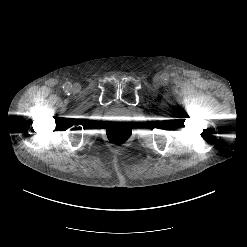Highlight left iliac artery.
Segmentation results:
<instances>
[{
  "mask_svg": "<svg viewBox=\"0 0 247 247\" xmlns=\"http://www.w3.org/2000/svg\"><path fill=\"white\" fill-rule=\"evenodd\" d=\"M163 79H164L165 81L168 80V76L165 75V76L163 77Z\"/></svg>",
  "mask_w": 247,
  "mask_h": 247,
  "instance_id": "obj_1",
  "label": "left iliac artery"
}]
</instances>
